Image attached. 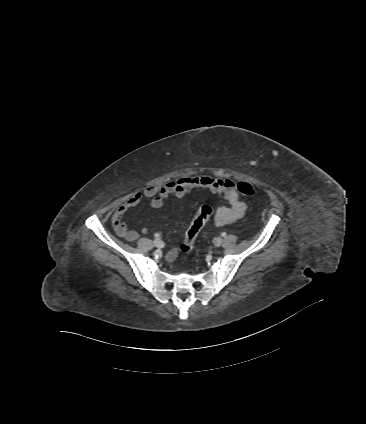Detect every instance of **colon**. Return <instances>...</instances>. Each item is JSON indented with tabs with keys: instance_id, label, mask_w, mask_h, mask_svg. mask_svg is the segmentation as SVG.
<instances>
[{
	"instance_id": "obj_1",
	"label": "colon",
	"mask_w": 366,
	"mask_h": 424,
	"mask_svg": "<svg viewBox=\"0 0 366 424\" xmlns=\"http://www.w3.org/2000/svg\"><path fill=\"white\" fill-rule=\"evenodd\" d=\"M237 189L243 196H252L255 193L254 187L248 182H239L237 184ZM211 213L212 207L207 204L200 206L197 210L195 217L186 231L185 238L180 245V250L182 252L180 262H185L188 254L194 249L196 239Z\"/></svg>"
}]
</instances>
